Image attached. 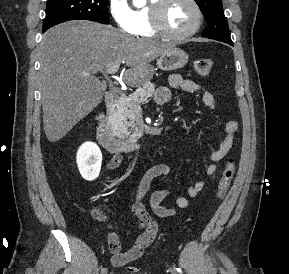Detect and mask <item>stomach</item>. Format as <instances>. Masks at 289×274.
Returning <instances> with one entry per match:
<instances>
[{"instance_id": "0dacf381", "label": "stomach", "mask_w": 289, "mask_h": 274, "mask_svg": "<svg viewBox=\"0 0 289 274\" xmlns=\"http://www.w3.org/2000/svg\"><path fill=\"white\" fill-rule=\"evenodd\" d=\"M188 62V54L178 48H173L161 55L157 60L158 67L163 71L182 68Z\"/></svg>"}]
</instances>
